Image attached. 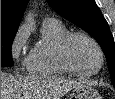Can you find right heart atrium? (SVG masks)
Segmentation results:
<instances>
[{
    "label": "right heart atrium",
    "instance_id": "d8ad5b80",
    "mask_svg": "<svg viewBox=\"0 0 115 99\" xmlns=\"http://www.w3.org/2000/svg\"><path fill=\"white\" fill-rule=\"evenodd\" d=\"M28 38V29L26 26L20 27L12 39L10 45V55L12 59L19 65L27 64L28 56L25 55L24 46Z\"/></svg>",
    "mask_w": 115,
    "mask_h": 99
}]
</instances>
